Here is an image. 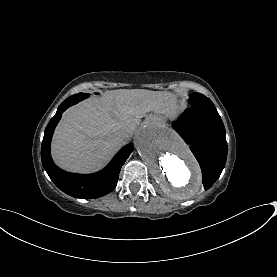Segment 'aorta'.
<instances>
[{
    "label": "aorta",
    "mask_w": 277,
    "mask_h": 277,
    "mask_svg": "<svg viewBox=\"0 0 277 277\" xmlns=\"http://www.w3.org/2000/svg\"><path fill=\"white\" fill-rule=\"evenodd\" d=\"M135 147L167 195L185 200L199 192V165L175 132L161 125H146L137 132Z\"/></svg>",
    "instance_id": "aorta-1"
}]
</instances>
